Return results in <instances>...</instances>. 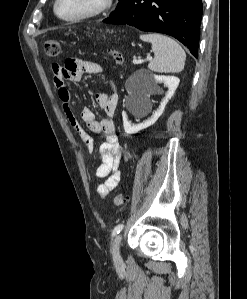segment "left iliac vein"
Returning <instances> with one entry per match:
<instances>
[{"label": "left iliac vein", "instance_id": "left-iliac-vein-1", "mask_svg": "<svg viewBox=\"0 0 247 299\" xmlns=\"http://www.w3.org/2000/svg\"><path fill=\"white\" fill-rule=\"evenodd\" d=\"M121 240H122V235H117L113 242V260L115 264H119L122 261L120 255Z\"/></svg>", "mask_w": 247, "mask_h": 299}]
</instances>
